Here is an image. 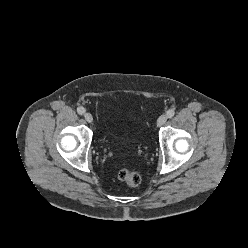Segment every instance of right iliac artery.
<instances>
[{
  "instance_id": "right-iliac-artery-1",
  "label": "right iliac artery",
  "mask_w": 248,
  "mask_h": 248,
  "mask_svg": "<svg viewBox=\"0 0 248 248\" xmlns=\"http://www.w3.org/2000/svg\"><path fill=\"white\" fill-rule=\"evenodd\" d=\"M77 112H78V114L83 115L85 113V108L80 106L77 108Z\"/></svg>"
}]
</instances>
